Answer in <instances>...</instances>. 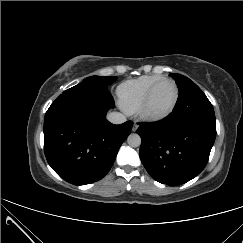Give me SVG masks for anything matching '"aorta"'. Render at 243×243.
Listing matches in <instances>:
<instances>
[{
  "instance_id": "1",
  "label": "aorta",
  "mask_w": 243,
  "mask_h": 243,
  "mask_svg": "<svg viewBox=\"0 0 243 243\" xmlns=\"http://www.w3.org/2000/svg\"><path fill=\"white\" fill-rule=\"evenodd\" d=\"M127 142L131 147H139L141 145V137L138 134H130L127 138Z\"/></svg>"
}]
</instances>
